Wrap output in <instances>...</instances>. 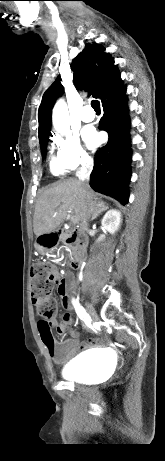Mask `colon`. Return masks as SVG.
Here are the masks:
<instances>
[{
  "instance_id": "5ec220e1",
  "label": "colon",
  "mask_w": 165,
  "mask_h": 461,
  "mask_svg": "<svg viewBox=\"0 0 165 461\" xmlns=\"http://www.w3.org/2000/svg\"><path fill=\"white\" fill-rule=\"evenodd\" d=\"M62 277L58 269L49 263L36 262L31 267V296L37 312L43 317L39 322L41 338L48 347H54L55 340L51 332L49 319L56 316L57 304L51 298L53 288Z\"/></svg>"
}]
</instances>
